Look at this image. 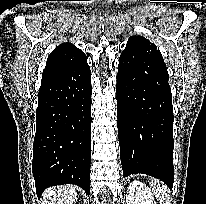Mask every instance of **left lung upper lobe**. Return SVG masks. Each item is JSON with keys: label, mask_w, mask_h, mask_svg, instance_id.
I'll return each mask as SVG.
<instances>
[{"label": "left lung upper lobe", "mask_w": 206, "mask_h": 204, "mask_svg": "<svg viewBox=\"0 0 206 204\" xmlns=\"http://www.w3.org/2000/svg\"><path fill=\"white\" fill-rule=\"evenodd\" d=\"M120 57H125L130 67L133 69L139 68L141 63L146 60L164 62L156 45L142 36L130 37Z\"/></svg>", "instance_id": "5c2ea615"}]
</instances>
